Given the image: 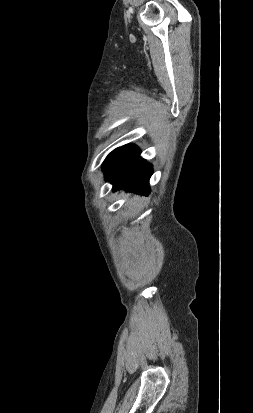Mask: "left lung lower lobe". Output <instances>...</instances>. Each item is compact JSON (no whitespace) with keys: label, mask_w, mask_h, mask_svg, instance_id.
<instances>
[{"label":"left lung lower lobe","mask_w":253,"mask_h":413,"mask_svg":"<svg viewBox=\"0 0 253 413\" xmlns=\"http://www.w3.org/2000/svg\"><path fill=\"white\" fill-rule=\"evenodd\" d=\"M105 180L113 184V190L120 188L149 194V179L152 166L140 157V150L134 145H124L103 165Z\"/></svg>","instance_id":"0a47b994"}]
</instances>
